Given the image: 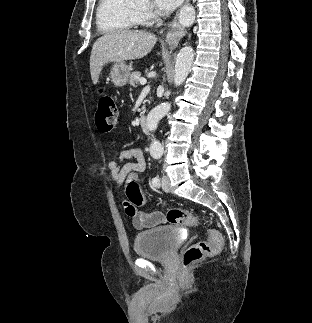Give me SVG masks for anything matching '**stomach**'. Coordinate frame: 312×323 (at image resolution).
<instances>
[{
  "label": "stomach",
  "mask_w": 312,
  "mask_h": 323,
  "mask_svg": "<svg viewBox=\"0 0 312 323\" xmlns=\"http://www.w3.org/2000/svg\"><path fill=\"white\" fill-rule=\"evenodd\" d=\"M131 74L130 68L124 62H116L111 68L110 78L114 86H125Z\"/></svg>",
  "instance_id": "1"
}]
</instances>
